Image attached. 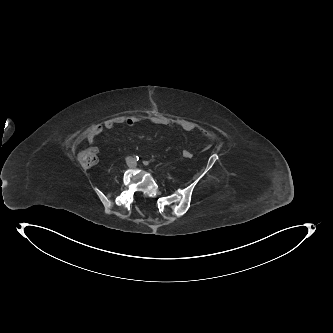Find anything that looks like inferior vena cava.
Segmentation results:
<instances>
[{"label":"inferior vena cava","mask_w":333,"mask_h":333,"mask_svg":"<svg viewBox=\"0 0 333 333\" xmlns=\"http://www.w3.org/2000/svg\"><path fill=\"white\" fill-rule=\"evenodd\" d=\"M126 163L129 167H132L135 164V160L133 157L131 156H127L126 157Z\"/></svg>","instance_id":"inferior-vena-cava-1"}]
</instances>
